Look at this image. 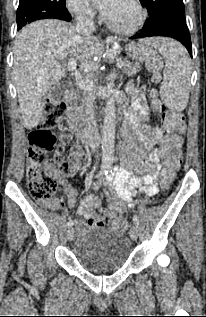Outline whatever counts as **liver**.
I'll return each mask as SVG.
<instances>
[{
    "label": "liver",
    "mask_w": 206,
    "mask_h": 317,
    "mask_svg": "<svg viewBox=\"0 0 206 317\" xmlns=\"http://www.w3.org/2000/svg\"><path fill=\"white\" fill-rule=\"evenodd\" d=\"M101 54L97 38H84L69 23L41 20L24 27L16 36L13 63L24 127L30 130L39 124L45 99L64 75L65 68L60 61L74 56L82 61L84 71H90L98 63L87 60Z\"/></svg>",
    "instance_id": "liver-1"
}]
</instances>
